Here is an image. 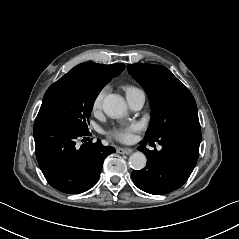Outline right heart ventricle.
I'll list each match as a JSON object with an SVG mask.
<instances>
[{"instance_id": "1", "label": "right heart ventricle", "mask_w": 239, "mask_h": 239, "mask_svg": "<svg viewBox=\"0 0 239 239\" xmlns=\"http://www.w3.org/2000/svg\"><path fill=\"white\" fill-rule=\"evenodd\" d=\"M131 88H134V87H128V89H131Z\"/></svg>"}]
</instances>
